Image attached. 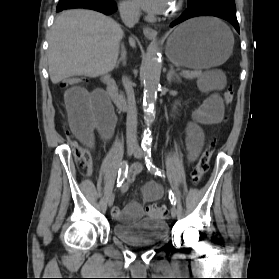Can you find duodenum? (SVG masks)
<instances>
[{"mask_svg": "<svg viewBox=\"0 0 279 279\" xmlns=\"http://www.w3.org/2000/svg\"><path fill=\"white\" fill-rule=\"evenodd\" d=\"M107 93L113 103L120 109H125L127 104L124 97L120 95L117 89V85L114 79L106 78Z\"/></svg>", "mask_w": 279, "mask_h": 279, "instance_id": "duodenum-1", "label": "duodenum"}]
</instances>
